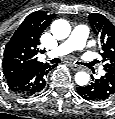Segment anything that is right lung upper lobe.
Wrapping results in <instances>:
<instances>
[{
	"mask_svg": "<svg viewBox=\"0 0 115 119\" xmlns=\"http://www.w3.org/2000/svg\"><path fill=\"white\" fill-rule=\"evenodd\" d=\"M54 16L35 11L24 19L5 46L2 66L6 79L46 65L38 61V54L42 53L38 48L39 38Z\"/></svg>",
	"mask_w": 115,
	"mask_h": 119,
	"instance_id": "right-lung-upper-lobe-1",
	"label": "right lung upper lobe"
}]
</instances>
